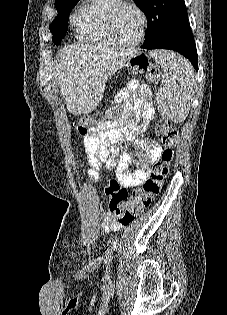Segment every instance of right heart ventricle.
<instances>
[{"mask_svg": "<svg viewBox=\"0 0 227 315\" xmlns=\"http://www.w3.org/2000/svg\"><path fill=\"white\" fill-rule=\"evenodd\" d=\"M114 0H85L72 16L81 38L92 44H112L106 31V14Z\"/></svg>", "mask_w": 227, "mask_h": 315, "instance_id": "e07e8e85", "label": "right heart ventricle"}]
</instances>
